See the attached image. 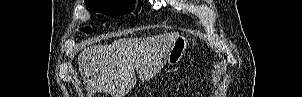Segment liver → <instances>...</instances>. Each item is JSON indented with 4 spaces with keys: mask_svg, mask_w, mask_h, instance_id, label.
<instances>
[{
    "mask_svg": "<svg viewBox=\"0 0 302 97\" xmlns=\"http://www.w3.org/2000/svg\"><path fill=\"white\" fill-rule=\"evenodd\" d=\"M179 33L146 38H122L106 45L84 48L78 56L79 70L86 85L87 97L105 93L124 97L135 84V72L146 77L157 73Z\"/></svg>",
    "mask_w": 302,
    "mask_h": 97,
    "instance_id": "6515ba94",
    "label": "liver"
}]
</instances>
